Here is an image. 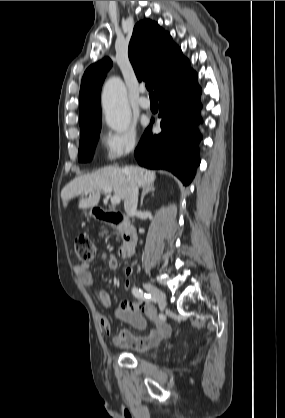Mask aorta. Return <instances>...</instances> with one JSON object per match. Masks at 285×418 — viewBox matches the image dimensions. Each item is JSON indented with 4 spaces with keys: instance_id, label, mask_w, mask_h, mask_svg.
Listing matches in <instances>:
<instances>
[{
    "instance_id": "obj_1",
    "label": "aorta",
    "mask_w": 285,
    "mask_h": 418,
    "mask_svg": "<svg viewBox=\"0 0 285 418\" xmlns=\"http://www.w3.org/2000/svg\"><path fill=\"white\" fill-rule=\"evenodd\" d=\"M102 104L106 124L116 132H125L131 122L126 87L118 77L110 78L104 85Z\"/></svg>"
}]
</instances>
